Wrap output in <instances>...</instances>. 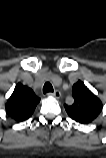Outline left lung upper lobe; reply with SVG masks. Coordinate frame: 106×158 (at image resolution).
I'll return each mask as SVG.
<instances>
[{"mask_svg": "<svg viewBox=\"0 0 106 158\" xmlns=\"http://www.w3.org/2000/svg\"><path fill=\"white\" fill-rule=\"evenodd\" d=\"M72 90L74 103L72 105H64L68 115L82 124L92 122L101 113L102 102L82 81L75 83Z\"/></svg>", "mask_w": 106, "mask_h": 158, "instance_id": "1", "label": "left lung upper lobe"}]
</instances>
